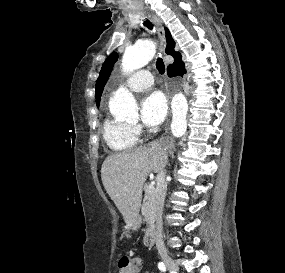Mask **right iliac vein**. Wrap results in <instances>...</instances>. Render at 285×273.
Instances as JSON below:
<instances>
[{
    "instance_id": "1",
    "label": "right iliac vein",
    "mask_w": 285,
    "mask_h": 273,
    "mask_svg": "<svg viewBox=\"0 0 285 273\" xmlns=\"http://www.w3.org/2000/svg\"><path fill=\"white\" fill-rule=\"evenodd\" d=\"M161 257L163 259V261L165 262L166 266L168 267V269H170L171 271L177 273L179 271V266L178 264L166 253L161 254Z\"/></svg>"
}]
</instances>
